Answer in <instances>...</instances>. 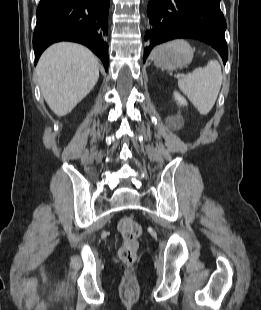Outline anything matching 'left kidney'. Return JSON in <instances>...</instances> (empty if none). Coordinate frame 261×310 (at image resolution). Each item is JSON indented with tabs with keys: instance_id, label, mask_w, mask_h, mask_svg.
Instances as JSON below:
<instances>
[{
	"instance_id": "5707ae66",
	"label": "left kidney",
	"mask_w": 261,
	"mask_h": 310,
	"mask_svg": "<svg viewBox=\"0 0 261 310\" xmlns=\"http://www.w3.org/2000/svg\"><path fill=\"white\" fill-rule=\"evenodd\" d=\"M174 98L178 102V105L187 106L186 99L176 91L174 92ZM168 121L173 126H180L182 124V120L179 115L168 117Z\"/></svg>"
}]
</instances>
